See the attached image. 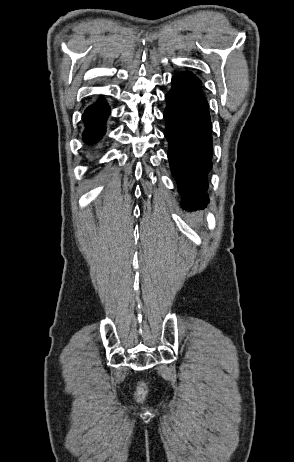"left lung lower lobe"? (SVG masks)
<instances>
[{
  "label": "left lung lower lobe",
  "instance_id": "obj_1",
  "mask_svg": "<svg viewBox=\"0 0 294 462\" xmlns=\"http://www.w3.org/2000/svg\"><path fill=\"white\" fill-rule=\"evenodd\" d=\"M165 98L164 135L172 174L183 196L182 207L202 209L209 202L206 179L212 167V135L201 81L189 71L175 75Z\"/></svg>",
  "mask_w": 294,
  "mask_h": 462
}]
</instances>
